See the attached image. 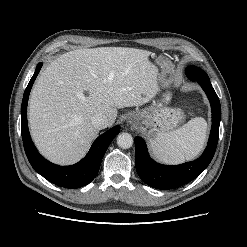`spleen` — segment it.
Returning a JSON list of instances; mask_svg holds the SVG:
<instances>
[{
    "label": "spleen",
    "mask_w": 247,
    "mask_h": 247,
    "mask_svg": "<svg viewBox=\"0 0 247 247\" xmlns=\"http://www.w3.org/2000/svg\"><path fill=\"white\" fill-rule=\"evenodd\" d=\"M206 131L205 119L196 117L176 130L154 131L150 146L160 161L167 164H179L195 158L201 152L206 140Z\"/></svg>",
    "instance_id": "1"
}]
</instances>
